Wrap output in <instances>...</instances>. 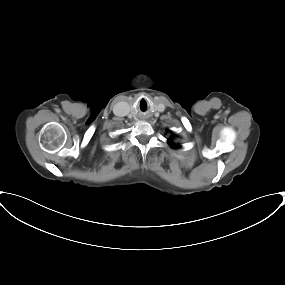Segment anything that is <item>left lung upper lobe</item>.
Here are the masks:
<instances>
[{"label":"left lung upper lobe","instance_id":"1","mask_svg":"<svg viewBox=\"0 0 285 285\" xmlns=\"http://www.w3.org/2000/svg\"><path fill=\"white\" fill-rule=\"evenodd\" d=\"M170 137L173 138L174 135H171ZM168 141H169V144H170L173 148H177V147L179 146V145L175 144L171 139H168Z\"/></svg>","mask_w":285,"mask_h":285}]
</instances>
